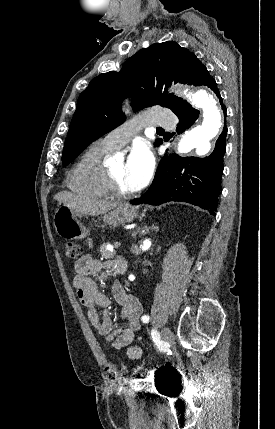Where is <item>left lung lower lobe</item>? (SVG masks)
<instances>
[{
  "label": "left lung lower lobe",
  "instance_id": "obj_1",
  "mask_svg": "<svg viewBox=\"0 0 275 429\" xmlns=\"http://www.w3.org/2000/svg\"><path fill=\"white\" fill-rule=\"evenodd\" d=\"M199 85L208 86L217 94L226 116V109L223 106L215 79L209 75L205 66L198 76L196 86ZM174 113L179 118L177 133H182L191 127L199 116V111L188 103L177 108ZM226 133L227 128L224 126L214 151L208 157H180L177 154L164 157L150 188L142 197L134 199L131 203L133 205L142 203L160 205L171 201H184L207 209L210 214L215 215L224 168Z\"/></svg>",
  "mask_w": 275,
  "mask_h": 429
}]
</instances>
